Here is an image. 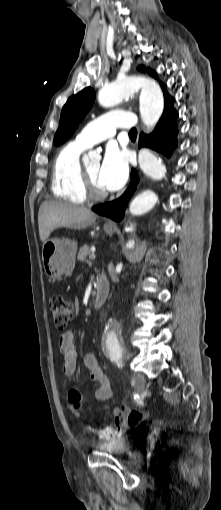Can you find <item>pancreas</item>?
Instances as JSON below:
<instances>
[{
    "label": "pancreas",
    "mask_w": 221,
    "mask_h": 510,
    "mask_svg": "<svg viewBox=\"0 0 221 510\" xmlns=\"http://www.w3.org/2000/svg\"><path fill=\"white\" fill-rule=\"evenodd\" d=\"M90 255H91V252H90L89 246L84 245L83 247L80 248L77 258H78V260L83 262V261H86V258Z\"/></svg>",
    "instance_id": "obj_1"
}]
</instances>
